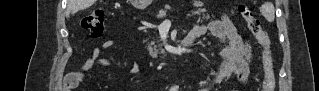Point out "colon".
<instances>
[{"label": "colon", "mask_w": 319, "mask_h": 91, "mask_svg": "<svg viewBox=\"0 0 319 91\" xmlns=\"http://www.w3.org/2000/svg\"><path fill=\"white\" fill-rule=\"evenodd\" d=\"M240 14L245 19L248 29L256 38L258 44L263 48L262 52V71L263 84L262 91H273L275 87V71L270 50V40L267 33L263 30L259 19H257L250 8L241 3L238 6ZM82 28L92 37H100L105 29V13L102 10H94L84 16L81 20Z\"/></svg>", "instance_id": "colon-1"}]
</instances>
